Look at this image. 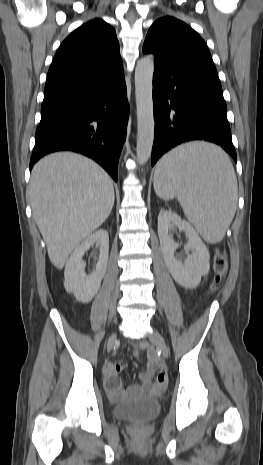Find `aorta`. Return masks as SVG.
<instances>
[{"label": "aorta", "instance_id": "1", "mask_svg": "<svg viewBox=\"0 0 263 465\" xmlns=\"http://www.w3.org/2000/svg\"><path fill=\"white\" fill-rule=\"evenodd\" d=\"M152 56L141 58L135 69V96L137 107V162L144 165L150 158L154 140Z\"/></svg>", "mask_w": 263, "mask_h": 465}]
</instances>
